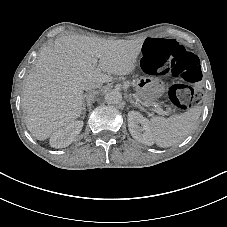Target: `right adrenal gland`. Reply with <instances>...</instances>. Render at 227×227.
Instances as JSON below:
<instances>
[{"label":"right adrenal gland","mask_w":227,"mask_h":227,"mask_svg":"<svg viewBox=\"0 0 227 227\" xmlns=\"http://www.w3.org/2000/svg\"><path fill=\"white\" fill-rule=\"evenodd\" d=\"M82 107H83V111H82V119H84V115H85V113H86V112H85V111H86V109H85V105H84V104L82 105Z\"/></svg>","instance_id":"right-adrenal-gland-1"}]
</instances>
